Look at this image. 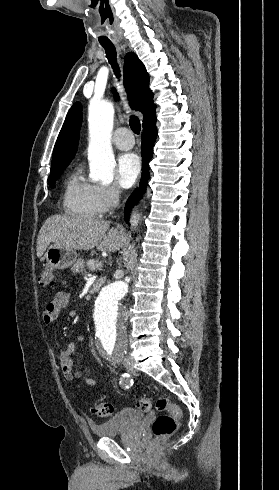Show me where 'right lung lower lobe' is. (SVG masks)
Wrapping results in <instances>:
<instances>
[{"mask_svg":"<svg viewBox=\"0 0 279 490\" xmlns=\"http://www.w3.org/2000/svg\"><path fill=\"white\" fill-rule=\"evenodd\" d=\"M157 136L156 126L154 128L148 127L143 129L142 133V144H141V153H142V178L139 184V188H137L132 195L129 197L124 211L125 221L128 222L129 212L134 203H136L139 199H141L142 194L146 190L148 178H149V168L148 161L152 159V152L154 142Z\"/></svg>","mask_w":279,"mask_h":490,"instance_id":"obj_1","label":"right lung lower lobe"}]
</instances>
